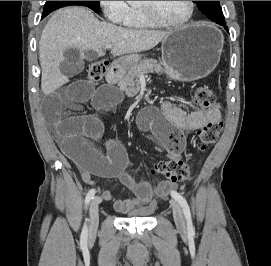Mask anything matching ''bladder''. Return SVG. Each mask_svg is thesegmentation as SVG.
<instances>
[{
  "label": "bladder",
  "mask_w": 271,
  "mask_h": 266,
  "mask_svg": "<svg viewBox=\"0 0 271 266\" xmlns=\"http://www.w3.org/2000/svg\"><path fill=\"white\" fill-rule=\"evenodd\" d=\"M150 211L151 210H137V211H133V212L125 215L124 217H126V218H147L150 215Z\"/></svg>",
  "instance_id": "1"
}]
</instances>
